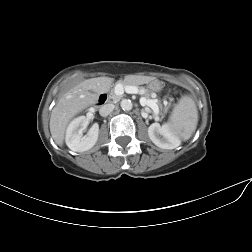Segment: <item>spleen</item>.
<instances>
[{"mask_svg": "<svg viewBox=\"0 0 252 252\" xmlns=\"http://www.w3.org/2000/svg\"><path fill=\"white\" fill-rule=\"evenodd\" d=\"M198 111L190 96H183L169 117L170 129L181 139L188 140L196 130Z\"/></svg>", "mask_w": 252, "mask_h": 252, "instance_id": "spleen-1", "label": "spleen"}]
</instances>
